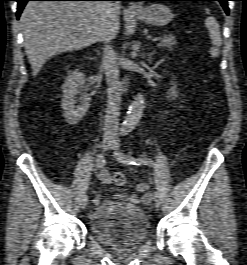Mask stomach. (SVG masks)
Instances as JSON below:
<instances>
[{
  "label": "stomach",
  "mask_w": 247,
  "mask_h": 265,
  "mask_svg": "<svg viewBox=\"0 0 247 265\" xmlns=\"http://www.w3.org/2000/svg\"><path fill=\"white\" fill-rule=\"evenodd\" d=\"M133 15L144 23L159 27L170 23L174 16L168 6L160 3H155L135 11Z\"/></svg>",
  "instance_id": "stomach-1"
}]
</instances>
